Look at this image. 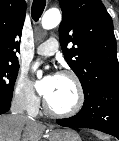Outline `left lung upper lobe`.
Returning a JSON list of instances; mask_svg holds the SVG:
<instances>
[{
    "mask_svg": "<svg viewBox=\"0 0 119 141\" xmlns=\"http://www.w3.org/2000/svg\"><path fill=\"white\" fill-rule=\"evenodd\" d=\"M63 19L59 39L64 57L78 76L84 95L119 83L113 22L101 0H59ZM73 43L71 49L67 48Z\"/></svg>",
    "mask_w": 119,
    "mask_h": 141,
    "instance_id": "obj_1",
    "label": "left lung upper lobe"
}]
</instances>
